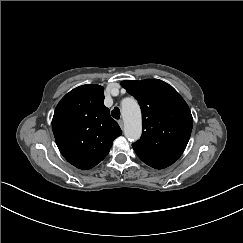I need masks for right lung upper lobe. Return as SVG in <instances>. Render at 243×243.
<instances>
[{"label": "right lung upper lobe", "instance_id": "cb5924a9", "mask_svg": "<svg viewBox=\"0 0 243 243\" xmlns=\"http://www.w3.org/2000/svg\"><path fill=\"white\" fill-rule=\"evenodd\" d=\"M103 87L82 85L67 93L58 103L52 129L64 158L87 170L101 162L121 135L117 122L104 106Z\"/></svg>", "mask_w": 243, "mask_h": 243}]
</instances>
